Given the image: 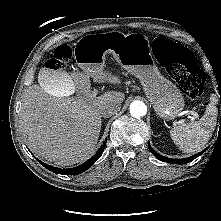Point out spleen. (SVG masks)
<instances>
[{"mask_svg":"<svg viewBox=\"0 0 221 221\" xmlns=\"http://www.w3.org/2000/svg\"><path fill=\"white\" fill-rule=\"evenodd\" d=\"M218 108L213 99L198 122L175 125L170 135L176 146L186 153L201 150L211 138L217 124Z\"/></svg>","mask_w":221,"mask_h":221,"instance_id":"3e777b00","label":"spleen"}]
</instances>
